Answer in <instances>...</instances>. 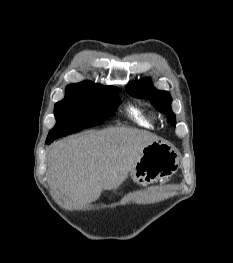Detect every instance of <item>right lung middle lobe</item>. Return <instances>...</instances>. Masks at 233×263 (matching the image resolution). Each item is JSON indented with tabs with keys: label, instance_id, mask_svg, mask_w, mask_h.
Masks as SVG:
<instances>
[{
	"label": "right lung middle lobe",
	"instance_id": "dd1d6c3e",
	"mask_svg": "<svg viewBox=\"0 0 233 263\" xmlns=\"http://www.w3.org/2000/svg\"><path fill=\"white\" fill-rule=\"evenodd\" d=\"M120 89L97 96L65 97L55 104L56 125L49 132L46 141L73 134L82 129L102 124L115 114L120 104Z\"/></svg>",
	"mask_w": 233,
	"mask_h": 263
}]
</instances>
